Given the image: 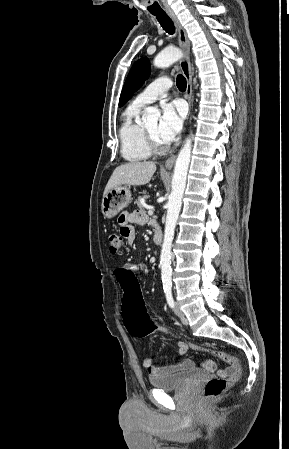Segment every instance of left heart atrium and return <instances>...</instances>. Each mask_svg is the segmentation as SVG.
Segmentation results:
<instances>
[{"instance_id": "1", "label": "left heart atrium", "mask_w": 289, "mask_h": 449, "mask_svg": "<svg viewBox=\"0 0 289 449\" xmlns=\"http://www.w3.org/2000/svg\"><path fill=\"white\" fill-rule=\"evenodd\" d=\"M158 135L165 144L173 142L182 129L184 109L176 102H166L161 107Z\"/></svg>"}]
</instances>
